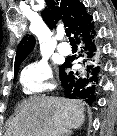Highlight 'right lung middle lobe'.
I'll return each instance as SVG.
<instances>
[{
    "label": "right lung middle lobe",
    "mask_w": 117,
    "mask_h": 136,
    "mask_svg": "<svg viewBox=\"0 0 117 136\" xmlns=\"http://www.w3.org/2000/svg\"><path fill=\"white\" fill-rule=\"evenodd\" d=\"M18 68H19V66L14 68V72H15L14 81H15V79H16V75H17V73H18Z\"/></svg>",
    "instance_id": "dd1d6c3e"
}]
</instances>
